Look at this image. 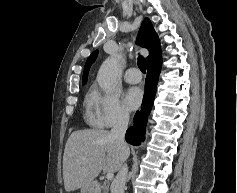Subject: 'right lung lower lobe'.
Segmentation results:
<instances>
[{
  "mask_svg": "<svg viewBox=\"0 0 237 193\" xmlns=\"http://www.w3.org/2000/svg\"><path fill=\"white\" fill-rule=\"evenodd\" d=\"M162 65V57L147 64V77L145 81V94L141 111H137L134 117V124L126 132V141L131 145H139L144 140L145 128L148 115L152 108L159 73Z\"/></svg>",
  "mask_w": 237,
  "mask_h": 193,
  "instance_id": "1",
  "label": "right lung lower lobe"
}]
</instances>
